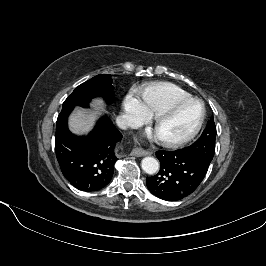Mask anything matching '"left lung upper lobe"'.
<instances>
[{
  "label": "left lung upper lobe",
  "instance_id": "left-lung-upper-lobe-1",
  "mask_svg": "<svg viewBox=\"0 0 266 266\" xmlns=\"http://www.w3.org/2000/svg\"><path fill=\"white\" fill-rule=\"evenodd\" d=\"M215 138L216 126L212 117L200 138L194 144L185 148L184 151L209 166L215 152Z\"/></svg>",
  "mask_w": 266,
  "mask_h": 266
}]
</instances>
